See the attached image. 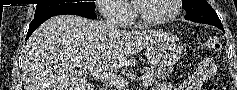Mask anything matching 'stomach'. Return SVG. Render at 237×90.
I'll return each instance as SVG.
<instances>
[{"label": "stomach", "instance_id": "obj_1", "mask_svg": "<svg viewBox=\"0 0 237 90\" xmlns=\"http://www.w3.org/2000/svg\"><path fill=\"white\" fill-rule=\"evenodd\" d=\"M182 50L177 45L163 38H155L146 47L147 58L159 67L171 66L181 57Z\"/></svg>", "mask_w": 237, "mask_h": 90}]
</instances>
